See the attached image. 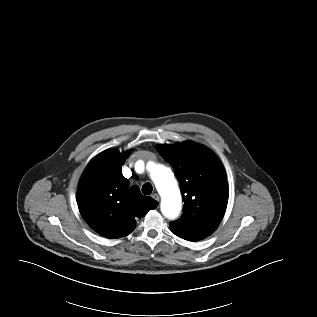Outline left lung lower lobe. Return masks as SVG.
<instances>
[{"label":"left lung lower lobe","mask_w":317,"mask_h":317,"mask_svg":"<svg viewBox=\"0 0 317 317\" xmlns=\"http://www.w3.org/2000/svg\"><path fill=\"white\" fill-rule=\"evenodd\" d=\"M217 227L210 224H184L180 229L171 227V231L182 239L195 242L208 237Z\"/></svg>","instance_id":"0a47b994"}]
</instances>
